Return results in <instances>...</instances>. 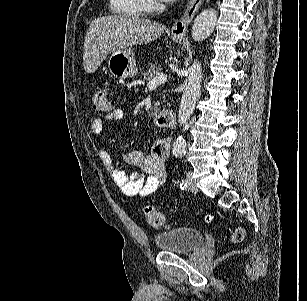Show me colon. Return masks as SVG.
Masks as SVG:
<instances>
[{"label": "colon", "instance_id": "obj_1", "mask_svg": "<svg viewBox=\"0 0 307 301\" xmlns=\"http://www.w3.org/2000/svg\"><path fill=\"white\" fill-rule=\"evenodd\" d=\"M91 106L92 109L98 113L107 112L110 109L111 101L105 89L101 88L94 93L91 99ZM143 214L147 223L156 229L166 228L168 225V221L164 214L152 205L145 206L143 208ZM206 220L207 222H212L213 218L211 215H208ZM243 238L244 230L242 228L235 229L230 236L232 242H240Z\"/></svg>", "mask_w": 307, "mask_h": 301}]
</instances>
